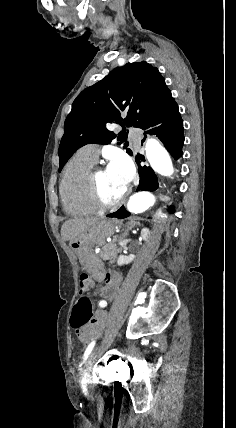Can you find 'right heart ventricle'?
Masks as SVG:
<instances>
[{
    "mask_svg": "<svg viewBox=\"0 0 236 428\" xmlns=\"http://www.w3.org/2000/svg\"><path fill=\"white\" fill-rule=\"evenodd\" d=\"M94 163L95 160L87 154L85 147L77 151L65 169L60 195L65 211L71 215L87 216L99 210L92 203L88 190Z\"/></svg>",
    "mask_w": 236,
    "mask_h": 428,
    "instance_id": "right-heart-ventricle-1",
    "label": "right heart ventricle"
}]
</instances>
